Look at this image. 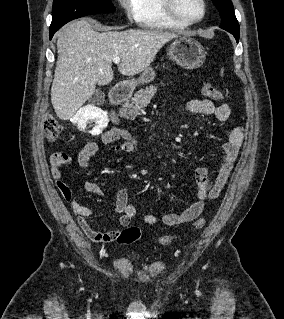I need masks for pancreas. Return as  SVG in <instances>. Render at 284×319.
Masks as SVG:
<instances>
[{"label":"pancreas","instance_id":"pancreas-1","mask_svg":"<svg viewBox=\"0 0 284 319\" xmlns=\"http://www.w3.org/2000/svg\"><path fill=\"white\" fill-rule=\"evenodd\" d=\"M156 92L157 87L153 85L137 91L134 97H132L131 103L127 102L123 105L120 116L125 119H129L131 116V119L134 120V118L140 115V112L147 107Z\"/></svg>","mask_w":284,"mask_h":319}]
</instances>
